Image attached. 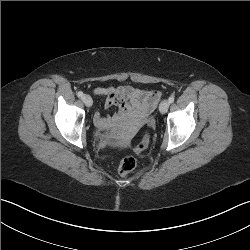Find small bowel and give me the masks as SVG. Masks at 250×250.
<instances>
[{
	"label": "small bowel",
	"instance_id": "obj_1",
	"mask_svg": "<svg viewBox=\"0 0 250 250\" xmlns=\"http://www.w3.org/2000/svg\"><path fill=\"white\" fill-rule=\"evenodd\" d=\"M93 93L104 98L103 107L108 110L116 107L112 114L96 112L94 122L98 127H111L126 118L144 120L155 109L161 94L155 90H145L129 85L96 87Z\"/></svg>",
	"mask_w": 250,
	"mask_h": 250
}]
</instances>
